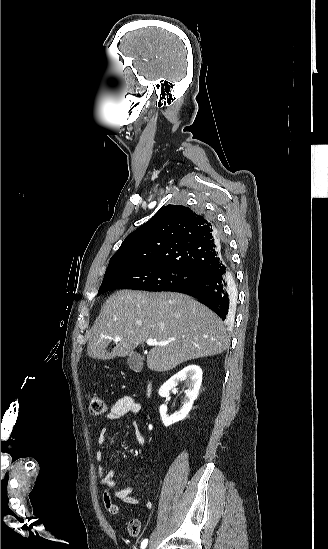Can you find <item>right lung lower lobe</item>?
Here are the masks:
<instances>
[{
  "label": "right lung lower lobe",
  "instance_id": "98d812e1",
  "mask_svg": "<svg viewBox=\"0 0 328 549\" xmlns=\"http://www.w3.org/2000/svg\"><path fill=\"white\" fill-rule=\"evenodd\" d=\"M235 290L234 278L226 257L219 269L203 274L191 283L170 291L194 296L209 307L224 321L228 319L230 295Z\"/></svg>",
  "mask_w": 328,
  "mask_h": 549
}]
</instances>
